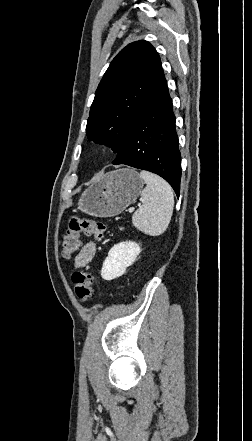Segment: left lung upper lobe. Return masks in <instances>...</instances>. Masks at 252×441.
I'll return each mask as SVG.
<instances>
[{"label": "left lung upper lobe", "instance_id": "5c2ea615", "mask_svg": "<svg viewBox=\"0 0 252 441\" xmlns=\"http://www.w3.org/2000/svg\"><path fill=\"white\" fill-rule=\"evenodd\" d=\"M159 63L157 51L144 40L130 43L118 53L96 90L86 126L89 140L105 144L115 153L120 151Z\"/></svg>", "mask_w": 252, "mask_h": 441}]
</instances>
